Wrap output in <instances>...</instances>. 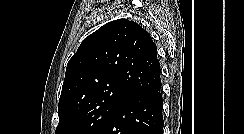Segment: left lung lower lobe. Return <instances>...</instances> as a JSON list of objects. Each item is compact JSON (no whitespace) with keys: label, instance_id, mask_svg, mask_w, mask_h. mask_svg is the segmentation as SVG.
Listing matches in <instances>:
<instances>
[{"label":"left lung lower lobe","instance_id":"obj_1","mask_svg":"<svg viewBox=\"0 0 244 134\" xmlns=\"http://www.w3.org/2000/svg\"><path fill=\"white\" fill-rule=\"evenodd\" d=\"M161 86L126 99L102 134H163Z\"/></svg>","mask_w":244,"mask_h":134}]
</instances>
